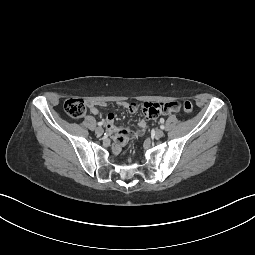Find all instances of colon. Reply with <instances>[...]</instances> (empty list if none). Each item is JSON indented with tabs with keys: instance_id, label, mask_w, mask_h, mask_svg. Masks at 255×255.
<instances>
[{
	"instance_id": "colon-1",
	"label": "colon",
	"mask_w": 255,
	"mask_h": 255,
	"mask_svg": "<svg viewBox=\"0 0 255 255\" xmlns=\"http://www.w3.org/2000/svg\"><path fill=\"white\" fill-rule=\"evenodd\" d=\"M183 110L186 113H191L193 110V104L190 101H184L181 103ZM65 112L73 119L82 118L86 114V104L83 99L73 97L65 101Z\"/></svg>"
}]
</instances>
